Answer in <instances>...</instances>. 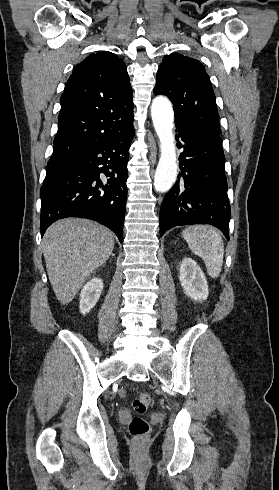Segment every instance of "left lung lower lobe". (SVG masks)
<instances>
[{
    "label": "left lung lower lobe",
    "mask_w": 279,
    "mask_h": 490,
    "mask_svg": "<svg viewBox=\"0 0 279 490\" xmlns=\"http://www.w3.org/2000/svg\"><path fill=\"white\" fill-rule=\"evenodd\" d=\"M180 155L179 178L160 210V235L180 225L209 224L229 240L230 204L225 157L219 134L175 121Z\"/></svg>",
    "instance_id": "0a47b994"
}]
</instances>
